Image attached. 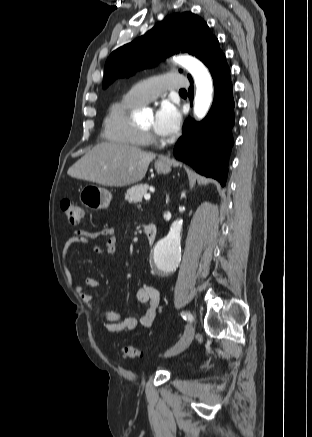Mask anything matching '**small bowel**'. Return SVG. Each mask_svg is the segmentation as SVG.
I'll use <instances>...</instances> for the list:
<instances>
[{
  "instance_id": "small-bowel-1",
  "label": "small bowel",
  "mask_w": 312,
  "mask_h": 437,
  "mask_svg": "<svg viewBox=\"0 0 312 437\" xmlns=\"http://www.w3.org/2000/svg\"><path fill=\"white\" fill-rule=\"evenodd\" d=\"M100 237H105L107 239L104 250L107 253H114L116 251L117 238L116 229L113 226H107L98 231L77 230L67 242L66 249L74 243H90ZM97 249L101 250L100 248ZM98 285L99 282L94 277H88L86 279L85 287L73 284L84 304L97 312L98 320L109 332L121 334L134 329L138 324L145 328L152 326L160 302L159 292L154 286L142 285L136 291L137 300L146 305L142 315L139 318L127 317L122 319L119 312L101 308L96 304L93 295L90 294L88 290H95L98 288Z\"/></svg>"
}]
</instances>
